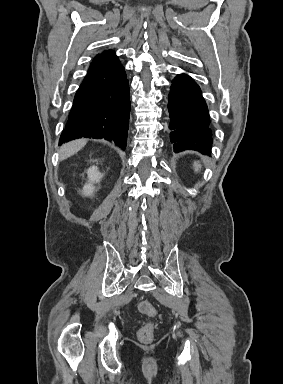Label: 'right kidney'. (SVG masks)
<instances>
[{"instance_id": "obj_1", "label": "right kidney", "mask_w": 283, "mask_h": 384, "mask_svg": "<svg viewBox=\"0 0 283 384\" xmlns=\"http://www.w3.org/2000/svg\"><path fill=\"white\" fill-rule=\"evenodd\" d=\"M88 184H85L83 188V196H92L94 192L93 184H98L100 182L103 174H100L97 166H92L87 170Z\"/></svg>"}]
</instances>
